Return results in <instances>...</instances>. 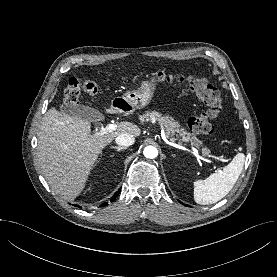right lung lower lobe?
<instances>
[{"mask_svg": "<svg viewBox=\"0 0 277 277\" xmlns=\"http://www.w3.org/2000/svg\"><path fill=\"white\" fill-rule=\"evenodd\" d=\"M118 194H119V191L116 192L115 195L111 198V202H112L113 200H115V198L118 196ZM107 205H108V203H107V202H104L101 206H102V207H105V206H107ZM75 206L81 208V207L78 206V205H75Z\"/></svg>", "mask_w": 277, "mask_h": 277, "instance_id": "right-lung-lower-lobe-1", "label": "right lung lower lobe"}]
</instances>
